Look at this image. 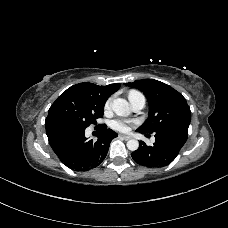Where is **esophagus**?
<instances>
[{
	"instance_id": "obj_1",
	"label": "esophagus",
	"mask_w": 228,
	"mask_h": 228,
	"mask_svg": "<svg viewBox=\"0 0 228 228\" xmlns=\"http://www.w3.org/2000/svg\"><path fill=\"white\" fill-rule=\"evenodd\" d=\"M119 137L126 141L131 139V136L128 135H119Z\"/></svg>"
}]
</instances>
